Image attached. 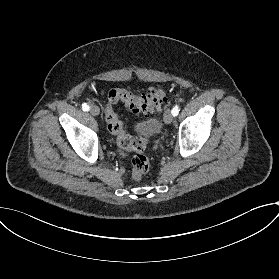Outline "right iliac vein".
<instances>
[{
  "mask_svg": "<svg viewBox=\"0 0 279 279\" xmlns=\"http://www.w3.org/2000/svg\"><path fill=\"white\" fill-rule=\"evenodd\" d=\"M90 113L93 116H97L100 113V109L97 106H92L90 109Z\"/></svg>",
  "mask_w": 279,
  "mask_h": 279,
  "instance_id": "1",
  "label": "right iliac vein"
}]
</instances>
